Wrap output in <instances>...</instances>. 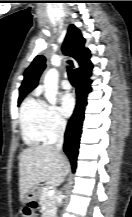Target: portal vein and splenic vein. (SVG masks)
Wrapping results in <instances>:
<instances>
[{
  "label": "portal vein and splenic vein",
  "instance_id": "portal-vein-and-splenic-vein-1",
  "mask_svg": "<svg viewBox=\"0 0 132 217\" xmlns=\"http://www.w3.org/2000/svg\"><path fill=\"white\" fill-rule=\"evenodd\" d=\"M54 194H55V190L50 189L48 195L51 197V196H54Z\"/></svg>",
  "mask_w": 132,
  "mask_h": 217
}]
</instances>
